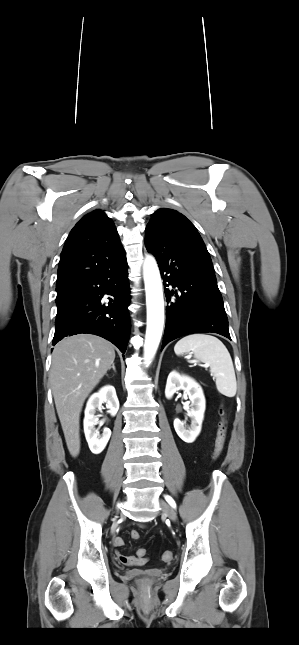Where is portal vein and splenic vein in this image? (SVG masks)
I'll use <instances>...</instances> for the list:
<instances>
[{
	"mask_svg": "<svg viewBox=\"0 0 299 645\" xmlns=\"http://www.w3.org/2000/svg\"><path fill=\"white\" fill-rule=\"evenodd\" d=\"M204 367H205V368H207V367H208V365H204Z\"/></svg>",
	"mask_w": 299,
	"mask_h": 645,
	"instance_id": "18ae733b",
	"label": "portal vein and splenic vein"
}]
</instances>
